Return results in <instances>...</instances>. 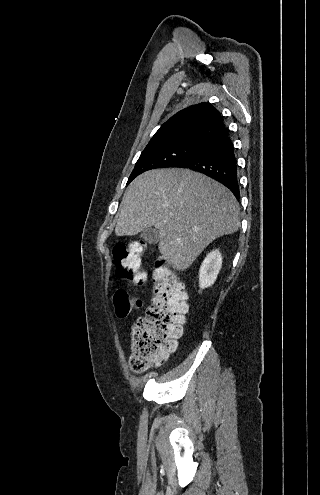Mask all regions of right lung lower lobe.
<instances>
[{
    "mask_svg": "<svg viewBox=\"0 0 320 495\" xmlns=\"http://www.w3.org/2000/svg\"><path fill=\"white\" fill-rule=\"evenodd\" d=\"M234 152L229 131L224 129L207 139L201 148L177 167L192 169L221 182L239 200L237 161Z\"/></svg>",
    "mask_w": 320,
    "mask_h": 495,
    "instance_id": "right-lung-lower-lobe-1",
    "label": "right lung lower lobe"
}]
</instances>
